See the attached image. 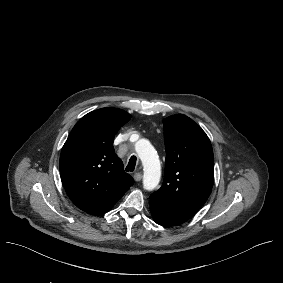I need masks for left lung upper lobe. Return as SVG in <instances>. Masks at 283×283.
Here are the masks:
<instances>
[{
    "label": "left lung upper lobe",
    "instance_id": "1",
    "mask_svg": "<svg viewBox=\"0 0 283 283\" xmlns=\"http://www.w3.org/2000/svg\"><path fill=\"white\" fill-rule=\"evenodd\" d=\"M166 149L165 179L152 195L199 209L214 181V157L205 132L185 115L163 120Z\"/></svg>",
    "mask_w": 283,
    "mask_h": 283
}]
</instances>
